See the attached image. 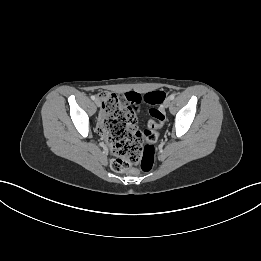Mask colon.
I'll list each match as a JSON object with an SVG mask.
<instances>
[{
	"instance_id": "obj_1",
	"label": "colon",
	"mask_w": 261,
	"mask_h": 261,
	"mask_svg": "<svg viewBox=\"0 0 261 261\" xmlns=\"http://www.w3.org/2000/svg\"><path fill=\"white\" fill-rule=\"evenodd\" d=\"M99 97L102 101L100 129L111 146L112 170L123 173L138 165L142 171H149L155 160L156 129L160 130L167 123L166 110L163 107L150 109L152 120L143 134L135 126L132 111L142 102L161 104L165 92L152 91L144 96L131 93L125 98V103L116 94L107 91L101 92Z\"/></svg>"
}]
</instances>
